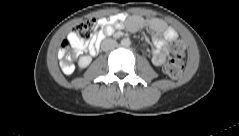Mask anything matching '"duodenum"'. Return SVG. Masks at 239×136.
Wrapping results in <instances>:
<instances>
[{
  "label": "duodenum",
  "instance_id": "1",
  "mask_svg": "<svg viewBox=\"0 0 239 136\" xmlns=\"http://www.w3.org/2000/svg\"><path fill=\"white\" fill-rule=\"evenodd\" d=\"M104 38H105V35H100L96 38L95 43L91 46V49H90V53L92 55H95L99 51L100 44L104 40Z\"/></svg>",
  "mask_w": 239,
  "mask_h": 136
}]
</instances>
